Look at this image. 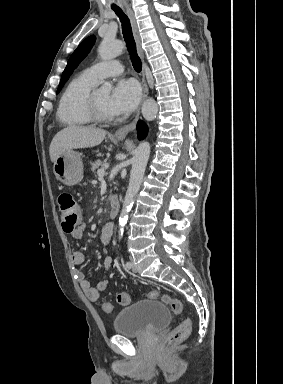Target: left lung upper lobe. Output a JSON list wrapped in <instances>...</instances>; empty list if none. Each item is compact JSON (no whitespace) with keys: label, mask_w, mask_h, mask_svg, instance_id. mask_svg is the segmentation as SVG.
I'll use <instances>...</instances> for the list:
<instances>
[{"label":"left lung upper lobe","mask_w":283,"mask_h":384,"mask_svg":"<svg viewBox=\"0 0 283 384\" xmlns=\"http://www.w3.org/2000/svg\"><path fill=\"white\" fill-rule=\"evenodd\" d=\"M95 36H89L85 40H83L77 49L70 56L67 66L62 73L61 81L57 89V93L61 90L64 83L68 80L73 70L78 66V64L87 56L91 47L95 42Z\"/></svg>","instance_id":"1"}]
</instances>
